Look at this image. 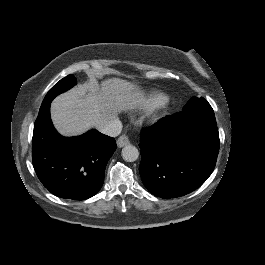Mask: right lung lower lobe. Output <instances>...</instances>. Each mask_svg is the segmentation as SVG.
<instances>
[{"instance_id":"obj_1","label":"right lung lower lobe","mask_w":265,"mask_h":265,"mask_svg":"<svg viewBox=\"0 0 265 265\" xmlns=\"http://www.w3.org/2000/svg\"><path fill=\"white\" fill-rule=\"evenodd\" d=\"M116 150L114 138L97 130L62 137L50 118V104L39 111L32 138V160L44 187L64 199L84 200L102 187L108 160Z\"/></svg>"}]
</instances>
